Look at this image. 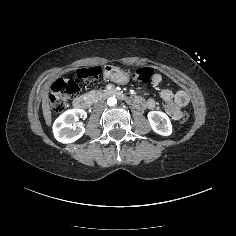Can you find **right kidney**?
Here are the masks:
<instances>
[{"mask_svg": "<svg viewBox=\"0 0 236 236\" xmlns=\"http://www.w3.org/2000/svg\"><path fill=\"white\" fill-rule=\"evenodd\" d=\"M82 109H71L59 116L53 124V134L57 141L63 144H71L79 140L85 133V127L75 126L76 121L86 117Z\"/></svg>", "mask_w": 236, "mask_h": 236, "instance_id": "ca27d5eb", "label": "right kidney"}]
</instances>
